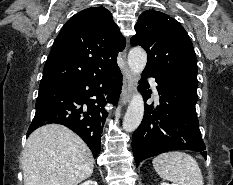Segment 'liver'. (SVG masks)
Masks as SVG:
<instances>
[{"mask_svg":"<svg viewBox=\"0 0 233 185\" xmlns=\"http://www.w3.org/2000/svg\"><path fill=\"white\" fill-rule=\"evenodd\" d=\"M21 164L24 185H78L91 176L94 159L78 135L48 124L28 137Z\"/></svg>","mask_w":233,"mask_h":185,"instance_id":"1","label":"liver"}]
</instances>
